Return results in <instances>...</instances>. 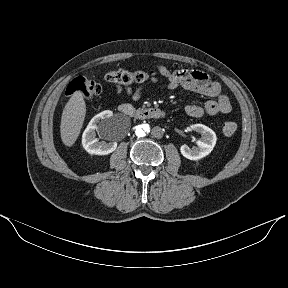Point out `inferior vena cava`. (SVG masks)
I'll use <instances>...</instances> for the list:
<instances>
[{"instance_id":"602c4592","label":"inferior vena cava","mask_w":288,"mask_h":288,"mask_svg":"<svg viewBox=\"0 0 288 288\" xmlns=\"http://www.w3.org/2000/svg\"><path fill=\"white\" fill-rule=\"evenodd\" d=\"M164 135V129L161 126H155L151 130V136L154 139H160Z\"/></svg>"}]
</instances>
